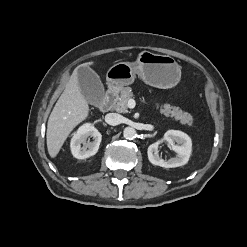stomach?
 Listing matches in <instances>:
<instances>
[{"instance_id":"0dacf381","label":"stomach","mask_w":247,"mask_h":247,"mask_svg":"<svg viewBox=\"0 0 247 247\" xmlns=\"http://www.w3.org/2000/svg\"><path fill=\"white\" fill-rule=\"evenodd\" d=\"M136 75L153 87L172 88L181 78V68L169 55L143 51L134 63L120 62L113 65L106 74L109 88L120 90L134 82Z\"/></svg>"}]
</instances>
